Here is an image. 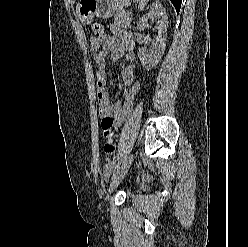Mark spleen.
Returning <instances> with one entry per match:
<instances>
[{
	"instance_id": "spleen-1",
	"label": "spleen",
	"mask_w": 248,
	"mask_h": 247,
	"mask_svg": "<svg viewBox=\"0 0 248 247\" xmlns=\"http://www.w3.org/2000/svg\"><path fill=\"white\" fill-rule=\"evenodd\" d=\"M137 1H139V5H138L139 10H143L149 0H137Z\"/></svg>"
}]
</instances>
